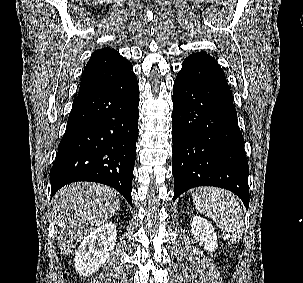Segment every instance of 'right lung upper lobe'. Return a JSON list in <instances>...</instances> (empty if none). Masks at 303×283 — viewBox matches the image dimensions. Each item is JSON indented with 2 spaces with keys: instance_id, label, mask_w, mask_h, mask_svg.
Masks as SVG:
<instances>
[{
  "instance_id": "obj_1",
  "label": "right lung upper lobe",
  "mask_w": 303,
  "mask_h": 283,
  "mask_svg": "<svg viewBox=\"0 0 303 283\" xmlns=\"http://www.w3.org/2000/svg\"><path fill=\"white\" fill-rule=\"evenodd\" d=\"M133 66L110 47L96 50L84 68L78 95L115 84L130 74Z\"/></svg>"
}]
</instances>
